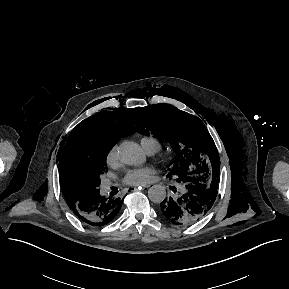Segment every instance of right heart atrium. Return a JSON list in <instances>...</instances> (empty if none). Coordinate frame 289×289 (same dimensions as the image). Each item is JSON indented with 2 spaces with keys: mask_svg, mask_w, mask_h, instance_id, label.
<instances>
[{
  "mask_svg": "<svg viewBox=\"0 0 289 289\" xmlns=\"http://www.w3.org/2000/svg\"><path fill=\"white\" fill-rule=\"evenodd\" d=\"M106 161L109 165H113L116 163L117 161V146L116 145H114L107 153Z\"/></svg>",
  "mask_w": 289,
  "mask_h": 289,
  "instance_id": "1",
  "label": "right heart atrium"
}]
</instances>
